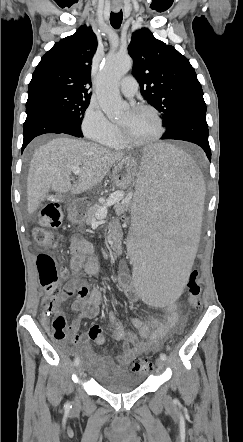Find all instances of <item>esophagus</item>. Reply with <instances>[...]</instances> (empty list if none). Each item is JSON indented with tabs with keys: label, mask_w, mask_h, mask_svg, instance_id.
Instances as JSON below:
<instances>
[{
	"label": "esophagus",
	"mask_w": 243,
	"mask_h": 442,
	"mask_svg": "<svg viewBox=\"0 0 243 442\" xmlns=\"http://www.w3.org/2000/svg\"><path fill=\"white\" fill-rule=\"evenodd\" d=\"M113 10H114L115 12H118V11L120 10V6H114V7H113Z\"/></svg>",
	"instance_id": "obj_1"
}]
</instances>
